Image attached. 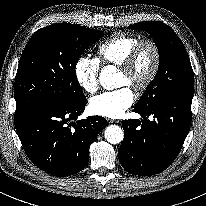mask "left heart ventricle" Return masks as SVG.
Instances as JSON below:
<instances>
[{
  "instance_id": "left-heart-ventricle-1",
  "label": "left heart ventricle",
  "mask_w": 206,
  "mask_h": 206,
  "mask_svg": "<svg viewBox=\"0 0 206 206\" xmlns=\"http://www.w3.org/2000/svg\"><path fill=\"white\" fill-rule=\"evenodd\" d=\"M153 61L152 50L145 46L141 50L131 76L120 73L119 87L130 86V83H140L150 72Z\"/></svg>"
}]
</instances>
